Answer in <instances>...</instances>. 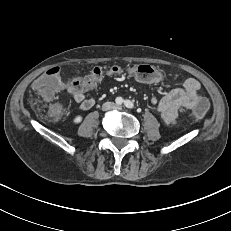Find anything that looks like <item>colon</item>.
I'll return each instance as SVG.
<instances>
[{
	"instance_id": "obj_1",
	"label": "colon",
	"mask_w": 231,
	"mask_h": 231,
	"mask_svg": "<svg viewBox=\"0 0 231 231\" xmlns=\"http://www.w3.org/2000/svg\"><path fill=\"white\" fill-rule=\"evenodd\" d=\"M60 67H53L36 78L33 82V89L42 97H52L60 90L62 80L59 77ZM126 72L134 76L139 84L163 86L166 83V76L161 70L154 69L149 65H134L126 68L114 65L110 67H95L84 77H78L72 82L74 89L86 91L94 88L104 77L117 75ZM212 110V104L209 99L201 97L192 108V115L195 120L201 121L208 117ZM50 116L58 118L63 114V107L59 103H54L49 109Z\"/></svg>"
}]
</instances>
